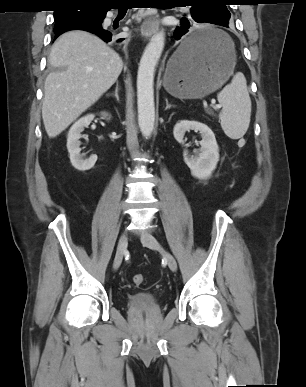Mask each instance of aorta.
Returning <instances> with one entry per match:
<instances>
[{
  "mask_svg": "<svg viewBox=\"0 0 306 387\" xmlns=\"http://www.w3.org/2000/svg\"><path fill=\"white\" fill-rule=\"evenodd\" d=\"M165 45V33H156L146 46L137 74L138 124L142 135L150 137L154 130V74Z\"/></svg>",
  "mask_w": 306,
  "mask_h": 387,
  "instance_id": "1",
  "label": "aorta"
}]
</instances>
